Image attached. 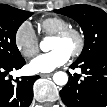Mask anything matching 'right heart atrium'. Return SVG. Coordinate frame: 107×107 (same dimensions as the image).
<instances>
[{
	"label": "right heart atrium",
	"instance_id": "right-heart-atrium-1",
	"mask_svg": "<svg viewBox=\"0 0 107 107\" xmlns=\"http://www.w3.org/2000/svg\"><path fill=\"white\" fill-rule=\"evenodd\" d=\"M15 45L26 58H31L39 51L38 36L29 22H23L15 32Z\"/></svg>",
	"mask_w": 107,
	"mask_h": 107
}]
</instances>
